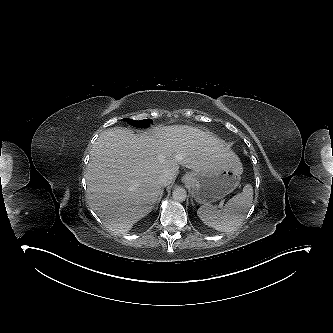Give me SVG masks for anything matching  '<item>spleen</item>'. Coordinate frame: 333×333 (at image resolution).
I'll list each match as a JSON object with an SVG mask.
<instances>
[{
  "instance_id": "spleen-1",
  "label": "spleen",
  "mask_w": 333,
  "mask_h": 333,
  "mask_svg": "<svg viewBox=\"0 0 333 333\" xmlns=\"http://www.w3.org/2000/svg\"><path fill=\"white\" fill-rule=\"evenodd\" d=\"M253 201V189L250 184L233 196L223 209L211 204L202 205L197 210L198 217L209 227L220 232L235 231L244 221Z\"/></svg>"
}]
</instances>
